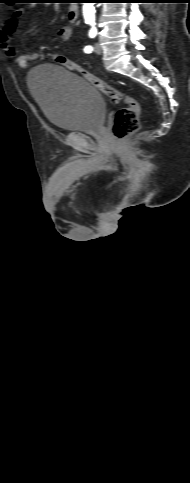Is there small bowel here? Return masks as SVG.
I'll return each instance as SVG.
<instances>
[{
	"label": "small bowel",
	"mask_w": 190,
	"mask_h": 483,
	"mask_svg": "<svg viewBox=\"0 0 190 483\" xmlns=\"http://www.w3.org/2000/svg\"><path fill=\"white\" fill-rule=\"evenodd\" d=\"M28 8V6H22L14 10L10 18L0 28V47L5 51L6 55L12 58L16 65L21 69L27 68L29 62L37 57V54L18 55L16 50L10 45L11 38L17 29L18 19ZM71 35L72 27L70 25H64L57 31V38L62 41L70 39Z\"/></svg>",
	"instance_id": "c3829d8e"
}]
</instances>
